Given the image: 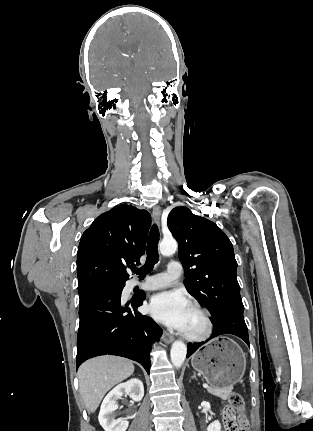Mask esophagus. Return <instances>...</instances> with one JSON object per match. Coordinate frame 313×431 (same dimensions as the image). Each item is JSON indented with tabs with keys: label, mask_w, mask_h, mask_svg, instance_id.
I'll return each mask as SVG.
<instances>
[{
	"label": "esophagus",
	"mask_w": 313,
	"mask_h": 431,
	"mask_svg": "<svg viewBox=\"0 0 313 431\" xmlns=\"http://www.w3.org/2000/svg\"><path fill=\"white\" fill-rule=\"evenodd\" d=\"M160 215H161V208L157 205L153 208V211H152L153 219L156 222H159ZM173 340H174V337L171 334H169L166 331L163 332V341L165 343L169 344V343L173 342Z\"/></svg>",
	"instance_id": "esophagus-1"
}]
</instances>
